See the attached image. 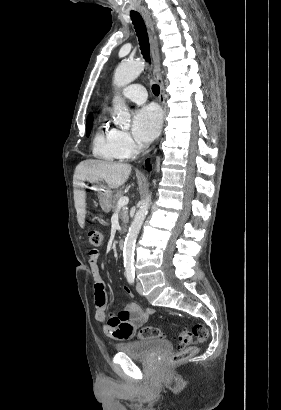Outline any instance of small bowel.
I'll return each instance as SVG.
<instances>
[{"label":"small bowel","instance_id":"obj_1","mask_svg":"<svg viewBox=\"0 0 281 410\" xmlns=\"http://www.w3.org/2000/svg\"><path fill=\"white\" fill-rule=\"evenodd\" d=\"M89 267L93 277L95 317L100 322H105L103 331L109 337L116 340H129L133 338L135 330L148 322L151 311L141 308L135 303L127 304L118 315H109L107 317V295L106 284L100 274L99 252L95 249L89 253ZM127 297H133L132 291L124 288Z\"/></svg>","mask_w":281,"mask_h":410}]
</instances>
